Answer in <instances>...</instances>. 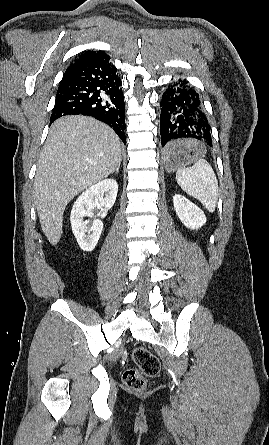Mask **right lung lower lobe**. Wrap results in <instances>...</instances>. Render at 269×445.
Returning <instances> with one entry per match:
<instances>
[{
    "label": "right lung lower lobe",
    "mask_w": 269,
    "mask_h": 445,
    "mask_svg": "<svg viewBox=\"0 0 269 445\" xmlns=\"http://www.w3.org/2000/svg\"><path fill=\"white\" fill-rule=\"evenodd\" d=\"M121 85L107 54L72 68L58 87L50 124L64 115L92 116L113 128L126 144Z\"/></svg>",
    "instance_id": "right-lung-lower-lobe-1"
}]
</instances>
